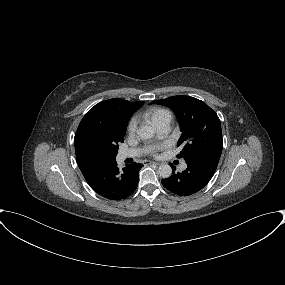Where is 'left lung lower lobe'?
<instances>
[{
  "label": "left lung lower lobe",
  "instance_id": "1",
  "mask_svg": "<svg viewBox=\"0 0 285 285\" xmlns=\"http://www.w3.org/2000/svg\"><path fill=\"white\" fill-rule=\"evenodd\" d=\"M221 155L202 154L186 160L187 169L162 180L163 186L179 196H189L204 188L215 173Z\"/></svg>",
  "mask_w": 285,
  "mask_h": 285
}]
</instances>
